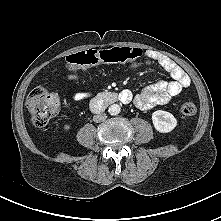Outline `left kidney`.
<instances>
[{
	"instance_id": "left-kidney-1",
	"label": "left kidney",
	"mask_w": 221,
	"mask_h": 221,
	"mask_svg": "<svg viewBox=\"0 0 221 221\" xmlns=\"http://www.w3.org/2000/svg\"><path fill=\"white\" fill-rule=\"evenodd\" d=\"M152 122L155 129L161 133L171 132L177 126L176 118L171 113L163 110L152 113Z\"/></svg>"
}]
</instances>
